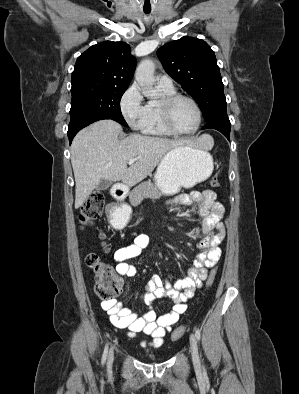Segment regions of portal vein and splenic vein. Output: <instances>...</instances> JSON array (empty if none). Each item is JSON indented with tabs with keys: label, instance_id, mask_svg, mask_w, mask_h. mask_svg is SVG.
I'll use <instances>...</instances> for the list:
<instances>
[{
	"label": "portal vein and splenic vein",
	"instance_id": "obj_1",
	"mask_svg": "<svg viewBox=\"0 0 299 394\" xmlns=\"http://www.w3.org/2000/svg\"><path fill=\"white\" fill-rule=\"evenodd\" d=\"M136 160H137L136 158L130 159L129 162H128L129 165L134 164L136 162Z\"/></svg>",
	"mask_w": 299,
	"mask_h": 394
}]
</instances>
